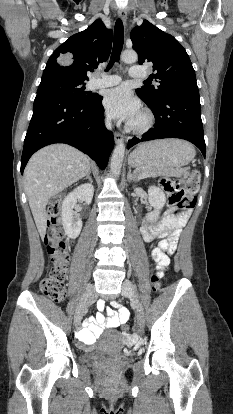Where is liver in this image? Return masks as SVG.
I'll return each instance as SVG.
<instances>
[{
  "instance_id": "liver-1",
  "label": "liver",
  "mask_w": 233,
  "mask_h": 414,
  "mask_svg": "<svg viewBox=\"0 0 233 414\" xmlns=\"http://www.w3.org/2000/svg\"><path fill=\"white\" fill-rule=\"evenodd\" d=\"M90 171L87 155L66 144H53L37 151L24 170V189L41 238L47 228L49 200Z\"/></svg>"
}]
</instances>
